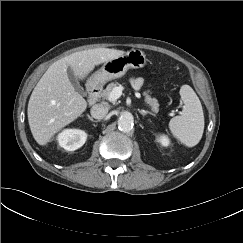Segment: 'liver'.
Masks as SVG:
<instances>
[{
    "instance_id": "obj_1",
    "label": "liver",
    "mask_w": 243,
    "mask_h": 243,
    "mask_svg": "<svg viewBox=\"0 0 243 243\" xmlns=\"http://www.w3.org/2000/svg\"><path fill=\"white\" fill-rule=\"evenodd\" d=\"M124 54L123 50L94 48L72 53L49 66L35 86L27 109L30 130L39 145H46L87 108L86 100L71 84L67 68L84 80L95 66Z\"/></svg>"
}]
</instances>
